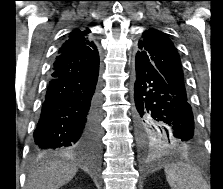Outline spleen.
Masks as SVG:
<instances>
[{
	"label": "spleen",
	"instance_id": "1",
	"mask_svg": "<svg viewBox=\"0 0 223 189\" xmlns=\"http://www.w3.org/2000/svg\"><path fill=\"white\" fill-rule=\"evenodd\" d=\"M167 181L172 189H204L201 174L192 166L178 163L165 168Z\"/></svg>",
	"mask_w": 223,
	"mask_h": 189
}]
</instances>
